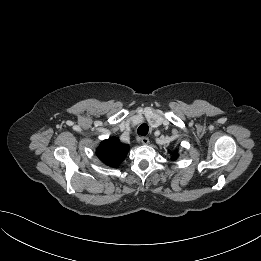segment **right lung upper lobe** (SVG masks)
<instances>
[{
  "label": "right lung upper lobe",
  "mask_w": 261,
  "mask_h": 261,
  "mask_svg": "<svg viewBox=\"0 0 261 261\" xmlns=\"http://www.w3.org/2000/svg\"><path fill=\"white\" fill-rule=\"evenodd\" d=\"M128 151V145H124L118 138L112 137L100 143L96 155L106 165L117 167L123 162Z\"/></svg>",
  "instance_id": "right-lung-upper-lobe-1"
}]
</instances>
